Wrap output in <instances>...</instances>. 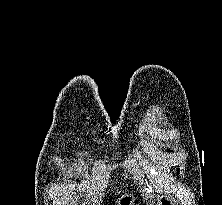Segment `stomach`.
<instances>
[{"mask_svg": "<svg viewBox=\"0 0 222 205\" xmlns=\"http://www.w3.org/2000/svg\"><path fill=\"white\" fill-rule=\"evenodd\" d=\"M135 198L132 194L121 195L117 199V205H135ZM156 205H174V200L166 195H158Z\"/></svg>", "mask_w": 222, "mask_h": 205, "instance_id": "0dacf381", "label": "stomach"}]
</instances>
